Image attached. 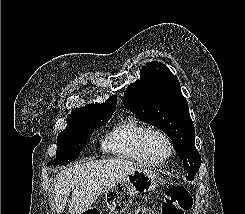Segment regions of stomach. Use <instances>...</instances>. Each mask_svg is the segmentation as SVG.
I'll use <instances>...</instances> for the list:
<instances>
[{
	"mask_svg": "<svg viewBox=\"0 0 245 214\" xmlns=\"http://www.w3.org/2000/svg\"><path fill=\"white\" fill-rule=\"evenodd\" d=\"M159 177L155 171L138 168L128 174L120 183L105 193V203L114 214L124 212L135 195L154 191L159 185ZM83 213H88V210Z\"/></svg>",
	"mask_w": 245,
	"mask_h": 214,
	"instance_id": "0dacf381",
	"label": "stomach"
}]
</instances>
